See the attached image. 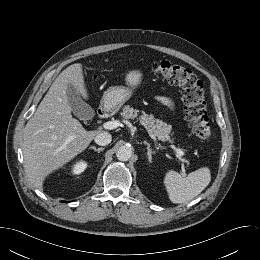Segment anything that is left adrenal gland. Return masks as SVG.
<instances>
[{"instance_id": "1", "label": "left adrenal gland", "mask_w": 260, "mask_h": 260, "mask_svg": "<svg viewBox=\"0 0 260 260\" xmlns=\"http://www.w3.org/2000/svg\"><path fill=\"white\" fill-rule=\"evenodd\" d=\"M144 144L147 145V156H148V160L151 162L152 154H154L155 152L152 151V149L150 148V144L148 142L144 141Z\"/></svg>"}]
</instances>
